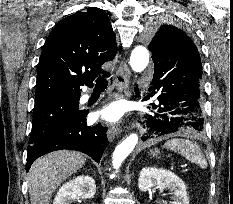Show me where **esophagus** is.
I'll return each instance as SVG.
<instances>
[{
	"mask_svg": "<svg viewBox=\"0 0 233 204\" xmlns=\"http://www.w3.org/2000/svg\"><path fill=\"white\" fill-rule=\"evenodd\" d=\"M130 69L125 62H122L118 68L115 76L117 90L120 94H126L128 91V85L130 81ZM119 133V128L116 125H110L107 130L108 140L111 142Z\"/></svg>",
	"mask_w": 233,
	"mask_h": 204,
	"instance_id": "34e87169",
	"label": "esophagus"
}]
</instances>
